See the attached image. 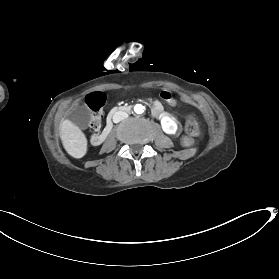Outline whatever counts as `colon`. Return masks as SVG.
Returning <instances> with one entry per match:
<instances>
[{
  "label": "colon",
  "instance_id": "colon-1",
  "mask_svg": "<svg viewBox=\"0 0 279 279\" xmlns=\"http://www.w3.org/2000/svg\"><path fill=\"white\" fill-rule=\"evenodd\" d=\"M102 121L101 112H96L90 123V129L97 131L100 128ZM186 131L190 136H197L200 133L199 123L193 116H189L186 121Z\"/></svg>",
  "mask_w": 279,
  "mask_h": 279
}]
</instances>
